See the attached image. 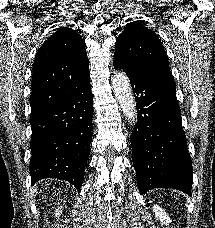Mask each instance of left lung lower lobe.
I'll return each mask as SVG.
<instances>
[{
	"instance_id": "obj_1",
	"label": "left lung lower lobe",
	"mask_w": 215,
	"mask_h": 228,
	"mask_svg": "<svg viewBox=\"0 0 215 228\" xmlns=\"http://www.w3.org/2000/svg\"><path fill=\"white\" fill-rule=\"evenodd\" d=\"M113 64L130 79L137 102L131 146L140 193L170 188L190 195L193 169L171 72L141 73Z\"/></svg>"
}]
</instances>
